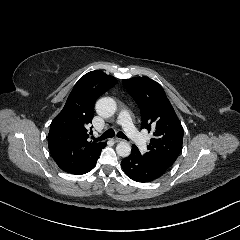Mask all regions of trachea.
I'll return each mask as SVG.
<instances>
[{"label": "trachea", "mask_w": 240, "mask_h": 240, "mask_svg": "<svg viewBox=\"0 0 240 240\" xmlns=\"http://www.w3.org/2000/svg\"><path fill=\"white\" fill-rule=\"evenodd\" d=\"M117 137L119 138H122V139H125V140H128V138L126 137V135H124L123 132H117ZM115 136V131L110 128L108 129L101 137H99L98 139H96L97 141H102V140H105V139H108V138H111V137H114Z\"/></svg>", "instance_id": "3493384b"}]
</instances>
